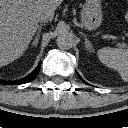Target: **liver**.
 I'll list each match as a JSON object with an SVG mask.
<instances>
[{
  "label": "liver",
  "instance_id": "1",
  "mask_svg": "<svg viewBox=\"0 0 128 128\" xmlns=\"http://www.w3.org/2000/svg\"><path fill=\"white\" fill-rule=\"evenodd\" d=\"M63 0H0V67L19 58L38 29V14L54 12Z\"/></svg>",
  "mask_w": 128,
  "mask_h": 128
}]
</instances>
